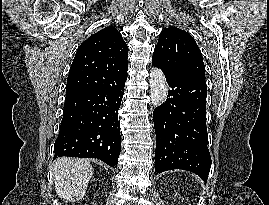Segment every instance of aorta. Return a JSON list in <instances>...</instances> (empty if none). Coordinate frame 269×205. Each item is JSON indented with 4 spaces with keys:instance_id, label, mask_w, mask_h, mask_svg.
<instances>
[{
    "instance_id": "1",
    "label": "aorta",
    "mask_w": 269,
    "mask_h": 205,
    "mask_svg": "<svg viewBox=\"0 0 269 205\" xmlns=\"http://www.w3.org/2000/svg\"><path fill=\"white\" fill-rule=\"evenodd\" d=\"M150 98L154 107L166 101L168 89L164 73L158 68H152L149 75Z\"/></svg>"
}]
</instances>
